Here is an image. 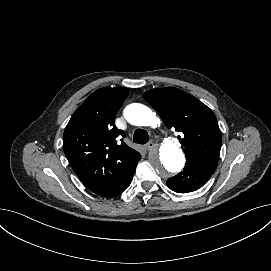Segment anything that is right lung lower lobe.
I'll return each mask as SVG.
<instances>
[{
    "mask_svg": "<svg viewBox=\"0 0 271 271\" xmlns=\"http://www.w3.org/2000/svg\"><path fill=\"white\" fill-rule=\"evenodd\" d=\"M140 158L141 155H139L130 165L116 170L115 177L110 179L100 189L94 191V193L102 197L113 198L124 192L132 181L137 163Z\"/></svg>",
    "mask_w": 271,
    "mask_h": 271,
    "instance_id": "1",
    "label": "right lung lower lobe"
}]
</instances>
